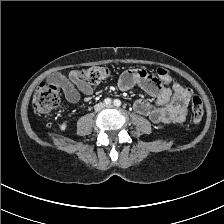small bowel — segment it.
<instances>
[{
  "label": "small bowel",
  "instance_id": "c3829d8e",
  "mask_svg": "<svg viewBox=\"0 0 224 224\" xmlns=\"http://www.w3.org/2000/svg\"><path fill=\"white\" fill-rule=\"evenodd\" d=\"M49 82L60 87L70 103H77L80 94L91 95L93 88L85 82L79 71H71L68 77L61 74H54ZM134 85L141 87L148 95L154 98L153 102L139 99L134 104L135 111L143 116H147L154 124L161 123H181L186 116V110L191 89L179 83L170 86L161 85L145 70L131 69L125 71L119 79L120 90L127 91Z\"/></svg>",
  "mask_w": 224,
  "mask_h": 224
}]
</instances>
